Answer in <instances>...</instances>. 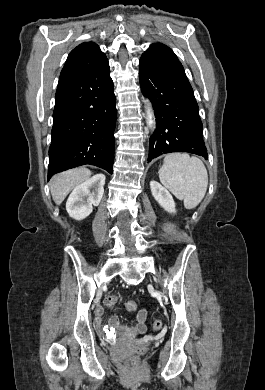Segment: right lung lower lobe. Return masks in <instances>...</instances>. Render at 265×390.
<instances>
[{
    "mask_svg": "<svg viewBox=\"0 0 265 390\" xmlns=\"http://www.w3.org/2000/svg\"><path fill=\"white\" fill-rule=\"evenodd\" d=\"M115 104L108 61L78 78L58 84L48 179L55 173L85 164L112 174Z\"/></svg>",
    "mask_w": 265,
    "mask_h": 390,
    "instance_id": "right-lung-lower-lobe-1",
    "label": "right lung lower lobe"
}]
</instances>
